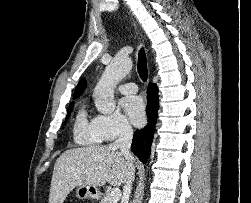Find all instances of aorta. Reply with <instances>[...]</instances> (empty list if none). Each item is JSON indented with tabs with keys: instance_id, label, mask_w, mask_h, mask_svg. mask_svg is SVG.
<instances>
[{
	"instance_id": "762f6f07",
	"label": "aorta",
	"mask_w": 251,
	"mask_h": 203,
	"mask_svg": "<svg viewBox=\"0 0 251 203\" xmlns=\"http://www.w3.org/2000/svg\"><path fill=\"white\" fill-rule=\"evenodd\" d=\"M131 69L132 61L129 58H116L105 68L94 90L95 105L99 112L111 114L114 111L115 87Z\"/></svg>"
}]
</instances>
